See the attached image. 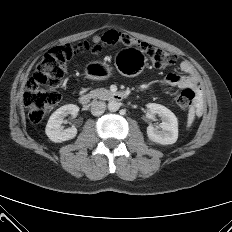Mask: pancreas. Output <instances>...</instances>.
<instances>
[{"instance_id":"pancreas-1","label":"pancreas","mask_w":232,"mask_h":232,"mask_svg":"<svg viewBox=\"0 0 232 232\" xmlns=\"http://www.w3.org/2000/svg\"><path fill=\"white\" fill-rule=\"evenodd\" d=\"M112 93L104 88H100V89H95L90 91V96L92 98H98V99H105L107 96L111 95Z\"/></svg>"}]
</instances>
